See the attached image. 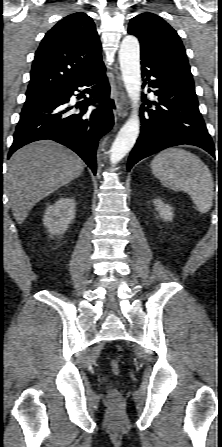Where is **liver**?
<instances>
[{
    "instance_id": "obj_1",
    "label": "liver",
    "mask_w": 222,
    "mask_h": 447,
    "mask_svg": "<svg viewBox=\"0 0 222 447\" xmlns=\"http://www.w3.org/2000/svg\"><path fill=\"white\" fill-rule=\"evenodd\" d=\"M84 167L77 154L50 140L16 151L8 162L6 189L17 223L22 224L40 200L80 176Z\"/></svg>"
}]
</instances>
